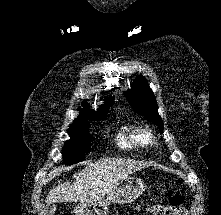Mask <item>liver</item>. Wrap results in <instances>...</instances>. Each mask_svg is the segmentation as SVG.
Returning <instances> with one entry per match:
<instances>
[{"label":"liver","instance_id":"liver-1","mask_svg":"<svg viewBox=\"0 0 221 215\" xmlns=\"http://www.w3.org/2000/svg\"><path fill=\"white\" fill-rule=\"evenodd\" d=\"M146 166V163L126 158H103L90 162L82 172L74 175L76 181L72 185L63 183L54 187L49 192L46 203H94L107 196L129 175Z\"/></svg>","mask_w":221,"mask_h":215}]
</instances>
